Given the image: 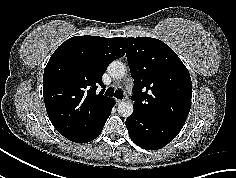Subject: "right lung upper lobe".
I'll list each match as a JSON object with an SVG mask.
<instances>
[{
	"mask_svg": "<svg viewBox=\"0 0 236 178\" xmlns=\"http://www.w3.org/2000/svg\"><path fill=\"white\" fill-rule=\"evenodd\" d=\"M123 38L75 36L51 56L43 76V96L50 121L67 139L96 129L115 104L103 95L102 75L125 54Z\"/></svg>",
	"mask_w": 236,
	"mask_h": 178,
	"instance_id": "obj_1",
	"label": "right lung upper lobe"
}]
</instances>
